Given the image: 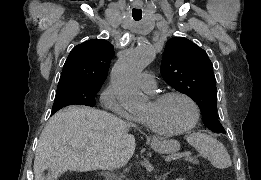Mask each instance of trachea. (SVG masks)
<instances>
[{
	"mask_svg": "<svg viewBox=\"0 0 261 180\" xmlns=\"http://www.w3.org/2000/svg\"><path fill=\"white\" fill-rule=\"evenodd\" d=\"M132 16H133V19L138 22L142 18V11L138 10V9H133Z\"/></svg>",
	"mask_w": 261,
	"mask_h": 180,
	"instance_id": "3493384b",
	"label": "trachea"
}]
</instances>
